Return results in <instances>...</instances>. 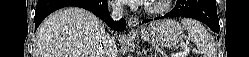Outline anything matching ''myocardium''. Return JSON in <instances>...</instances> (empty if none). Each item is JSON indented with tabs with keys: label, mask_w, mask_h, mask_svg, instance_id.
<instances>
[{
	"label": "myocardium",
	"mask_w": 249,
	"mask_h": 57,
	"mask_svg": "<svg viewBox=\"0 0 249 57\" xmlns=\"http://www.w3.org/2000/svg\"><path fill=\"white\" fill-rule=\"evenodd\" d=\"M171 2L172 0L152 1L145 4V10L148 13H161L170 7Z\"/></svg>",
	"instance_id": "f54148a6"
}]
</instances>
